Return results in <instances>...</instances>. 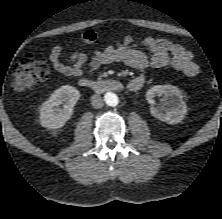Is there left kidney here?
<instances>
[{"label":"left kidney","mask_w":222,"mask_h":219,"mask_svg":"<svg viewBox=\"0 0 222 219\" xmlns=\"http://www.w3.org/2000/svg\"><path fill=\"white\" fill-rule=\"evenodd\" d=\"M160 104L155 107L154 97L162 96ZM146 99L152 105L150 113L153 117L168 124H177L183 120L187 113L186 103L183 101L181 90L170 84L156 85L146 93Z\"/></svg>","instance_id":"1"}]
</instances>
